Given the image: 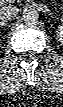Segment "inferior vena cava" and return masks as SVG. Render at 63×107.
<instances>
[{
    "label": "inferior vena cava",
    "instance_id": "obj_1",
    "mask_svg": "<svg viewBox=\"0 0 63 107\" xmlns=\"http://www.w3.org/2000/svg\"><path fill=\"white\" fill-rule=\"evenodd\" d=\"M18 9L12 5L3 7L0 10V19L1 21H10L16 17Z\"/></svg>",
    "mask_w": 63,
    "mask_h": 107
}]
</instances>
